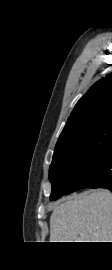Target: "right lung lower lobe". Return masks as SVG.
I'll use <instances>...</instances> for the list:
<instances>
[{
	"mask_svg": "<svg viewBox=\"0 0 112 270\" xmlns=\"http://www.w3.org/2000/svg\"><path fill=\"white\" fill-rule=\"evenodd\" d=\"M87 187L106 188L112 191V143L85 171L80 188Z\"/></svg>",
	"mask_w": 112,
	"mask_h": 270,
	"instance_id": "1",
	"label": "right lung lower lobe"
}]
</instances>
